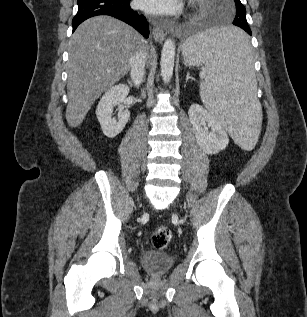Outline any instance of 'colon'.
Here are the masks:
<instances>
[{"label": "colon", "instance_id": "5ec220e1", "mask_svg": "<svg viewBox=\"0 0 307 317\" xmlns=\"http://www.w3.org/2000/svg\"><path fill=\"white\" fill-rule=\"evenodd\" d=\"M172 240V232L168 227L160 226L155 229L151 237L152 246L157 250L168 247Z\"/></svg>", "mask_w": 307, "mask_h": 317}]
</instances>
